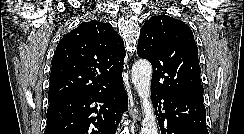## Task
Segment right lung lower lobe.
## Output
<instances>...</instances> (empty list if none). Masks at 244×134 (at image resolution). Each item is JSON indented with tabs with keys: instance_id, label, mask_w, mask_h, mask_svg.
<instances>
[{
	"instance_id": "right-lung-lower-lobe-1",
	"label": "right lung lower lobe",
	"mask_w": 244,
	"mask_h": 134,
	"mask_svg": "<svg viewBox=\"0 0 244 134\" xmlns=\"http://www.w3.org/2000/svg\"><path fill=\"white\" fill-rule=\"evenodd\" d=\"M126 109L127 94L120 77L101 91L50 103L44 134H115ZM92 113L97 117H90Z\"/></svg>"
}]
</instances>
